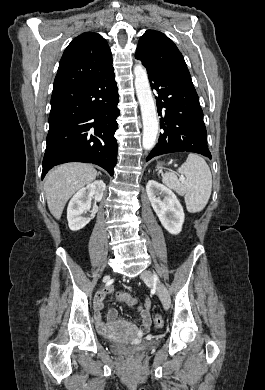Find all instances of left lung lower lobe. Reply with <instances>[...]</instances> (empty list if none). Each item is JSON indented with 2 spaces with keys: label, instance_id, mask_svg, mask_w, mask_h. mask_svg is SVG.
<instances>
[{
  "label": "left lung lower lobe",
  "instance_id": "1",
  "mask_svg": "<svg viewBox=\"0 0 265 390\" xmlns=\"http://www.w3.org/2000/svg\"><path fill=\"white\" fill-rule=\"evenodd\" d=\"M157 91V110L162 117L158 143L146 161L174 152H194L212 158L197 92L188 73H162L147 69Z\"/></svg>",
  "mask_w": 265,
  "mask_h": 390
}]
</instances>
